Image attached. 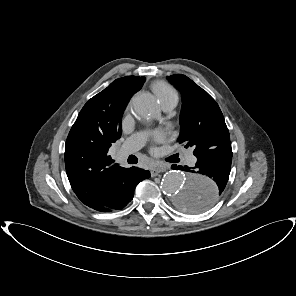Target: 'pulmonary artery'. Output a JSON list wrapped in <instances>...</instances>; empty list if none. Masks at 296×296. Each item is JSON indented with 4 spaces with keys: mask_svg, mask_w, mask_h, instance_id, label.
Masks as SVG:
<instances>
[{
    "mask_svg": "<svg viewBox=\"0 0 296 296\" xmlns=\"http://www.w3.org/2000/svg\"><path fill=\"white\" fill-rule=\"evenodd\" d=\"M177 104V101H170L162 105V109L164 111H171ZM146 141V135L145 133L139 132L131 135L128 137L124 143L122 144L120 150H119V156L121 158H124L125 156L134 153L138 151L140 148L143 147ZM185 162L189 166H193L197 162L196 156L189 152L185 156Z\"/></svg>",
    "mask_w": 296,
    "mask_h": 296,
    "instance_id": "1",
    "label": "pulmonary artery"
}]
</instances>
